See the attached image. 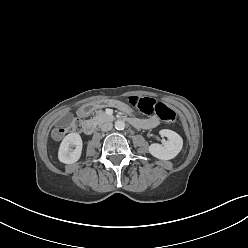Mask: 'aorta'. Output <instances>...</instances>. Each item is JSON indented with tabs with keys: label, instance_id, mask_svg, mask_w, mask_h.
Wrapping results in <instances>:
<instances>
[{
	"label": "aorta",
	"instance_id": "1",
	"mask_svg": "<svg viewBox=\"0 0 248 248\" xmlns=\"http://www.w3.org/2000/svg\"><path fill=\"white\" fill-rule=\"evenodd\" d=\"M115 128H116L117 130H123V129L125 128V122L122 121V120H117V121L115 122Z\"/></svg>",
	"mask_w": 248,
	"mask_h": 248
}]
</instances>
